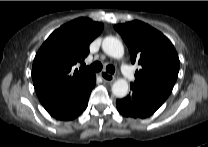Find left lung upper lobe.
Wrapping results in <instances>:
<instances>
[{
	"label": "left lung upper lobe",
	"instance_id": "left-lung-upper-lobe-1",
	"mask_svg": "<svg viewBox=\"0 0 208 147\" xmlns=\"http://www.w3.org/2000/svg\"><path fill=\"white\" fill-rule=\"evenodd\" d=\"M125 41L131 62L141 66L131 83L168 97L179 72L178 54L161 32L141 22L132 21L114 27Z\"/></svg>",
	"mask_w": 208,
	"mask_h": 147
}]
</instances>
